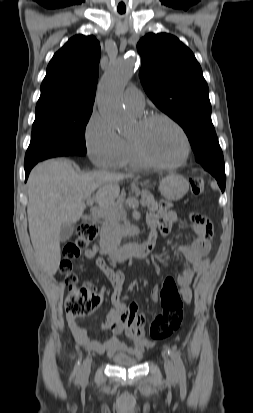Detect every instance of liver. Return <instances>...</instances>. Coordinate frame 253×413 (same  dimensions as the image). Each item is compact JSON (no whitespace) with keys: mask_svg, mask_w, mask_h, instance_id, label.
Here are the masks:
<instances>
[{"mask_svg":"<svg viewBox=\"0 0 253 413\" xmlns=\"http://www.w3.org/2000/svg\"><path fill=\"white\" fill-rule=\"evenodd\" d=\"M129 177L106 171L81 174L67 159H50L33 168L27 182L29 232L37 259L49 275L59 268L62 225L79 221L84 200L96 190L99 207L110 208L119 196V182Z\"/></svg>","mask_w":253,"mask_h":413,"instance_id":"6515ba94","label":"liver"}]
</instances>
